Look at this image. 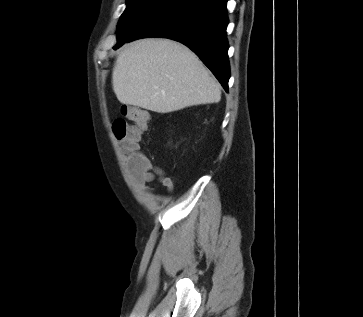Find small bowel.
<instances>
[{"mask_svg":"<svg viewBox=\"0 0 363 317\" xmlns=\"http://www.w3.org/2000/svg\"><path fill=\"white\" fill-rule=\"evenodd\" d=\"M129 170L134 176L140 188L144 190H152L148 186V184L154 182L156 179H158L168 191H171L173 189L171 179L167 175H165L161 169L156 167L147 157L142 166H129Z\"/></svg>","mask_w":363,"mask_h":317,"instance_id":"c3829d8e","label":"small bowel"}]
</instances>
